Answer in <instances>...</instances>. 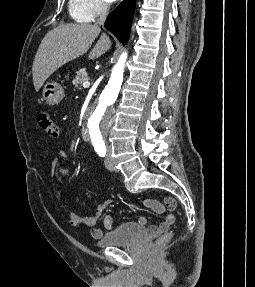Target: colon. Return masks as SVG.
<instances>
[{
	"mask_svg": "<svg viewBox=\"0 0 255 287\" xmlns=\"http://www.w3.org/2000/svg\"><path fill=\"white\" fill-rule=\"evenodd\" d=\"M37 124L39 127L44 130L49 136L56 137L59 134V127L52 119L51 115L47 112H40L37 115ZM172 237V233L168 232L163 234L157 241L156 246H164Z\"/></svg>",
	"mask_w": 255,
	"mask_h": 287,
	"instance_id": "1",
	"label": "colon"
}]
</instances>
